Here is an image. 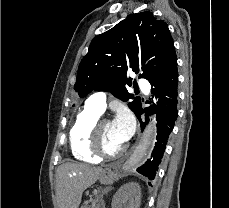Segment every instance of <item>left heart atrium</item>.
Segmentation results:
<instances>
[{"mask_svg":"<svg viewBox=\"0 0 229 208\" xmlns=\"http://www.w3.org/2000/svg\"><path fill=\"white\" fill-rule=\"evenodd\" d=\"M112 126L115 134L121 141H128L134 132V118L131 112L126 108L119 109L112 122Z\"/></svg>","mask_w":229,"mask_h":208,"instance_id":"obj_1","label":"left heart atrium"}]
</instances>
